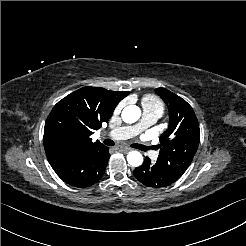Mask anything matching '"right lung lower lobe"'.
Segmentation results:
<instances>
[{
  "instance_id": "1",
  "label": "right lung lower lobe",
  "mask_w": 246,
  "mask_h": 246,
  "mask_svg": "<svg viewBox=\"0 0 246 246\" xmlns=\"http://www.w3.org/2000/svg\"><path fill=\"white\" fill-rule=\"evenodd\" d=\"M110 154L108 147H91L83 151H56L47 156L56 174L66 183L84 188L104 174Z\"/></svg>"
}]
</instances>
